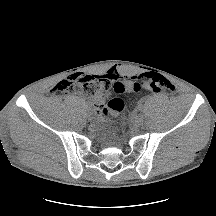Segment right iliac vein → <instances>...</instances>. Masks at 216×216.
<instances>
[{
	"label": "right iliac vein",
	"mask_w": 216,
	"mask_h": 216,
	"mask_svg": "<svg viewBox=\"0 0 216 216\" xmlns=\"http://www.w3.org/2000/svg\"><path fill=\"white\" fill-rule=\"evenodd\" d=\"M88 119H89V120H92V119H93V116H92L91 114H89V115H88Z\"/></svg>",
	"instance_id": "right-iliac-vein-1"
}]
</instances>
